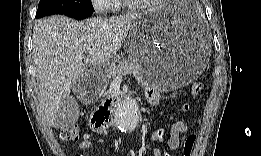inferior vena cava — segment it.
Wrapping results in <instances>:
<instances>
[{
	"label": "inferior vena cava",
	"instance_id": "obj_1",
	"mask_svg": "<svg viewBox=\"0 0 261 156\" xmlns=\"http://www.w3.org/2000/svg\"><path fill=\"white\" fill-rule=\"evenodd\" d=\"M97 11H98V12H104V9H103V8H100V7H97Z\"/></svg>",
	"mask_w": 261,
	"mask_h": 156
}]
</instances>
